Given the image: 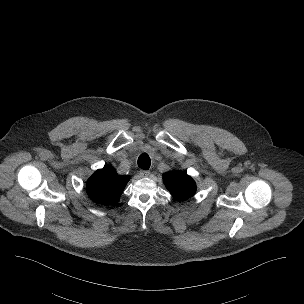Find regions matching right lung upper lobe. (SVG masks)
I'll list each match as a JSON object with an SVG mask.
<instances>
[{"mask_svg": "<svg viewBox=\"0 0 304 304\" xmlns=\"http://www.w3.org/2000/svg\"><path fill=\"white\" fill-rule=\"evenodd\" d=\"M129 179V176H119L114 168L106 166L97 170L87 181L88 195L100 204H116Z\"/></svg>", "mask_w": 304, "mask_h": 304, "instance_id": "right-lung-upper-lobe-1", "label": "right lung upper lobe"}]
</instances>
